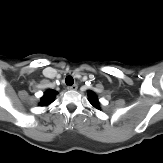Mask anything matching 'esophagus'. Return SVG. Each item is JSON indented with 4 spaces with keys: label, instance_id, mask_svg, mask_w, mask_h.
Instances as JSON below:
<instances>
[{
    "label": "esophagus",
    "instance_id": "1",
    "mask_svg": "<svg viewBox=\"0 0 163 163\" xmlns=\"http://www.w3.org/2000/svg\"><path fill=\"white\" fill-rule=\"evenodd\" d=\"M77 88H78V85H77V84H74V85H72V86H68V87H67V89H68V90H71V91H75V90H77Z\"/></svg>",
    "mask_w": 163,
    "mask_h": 163
}]
</instances>
